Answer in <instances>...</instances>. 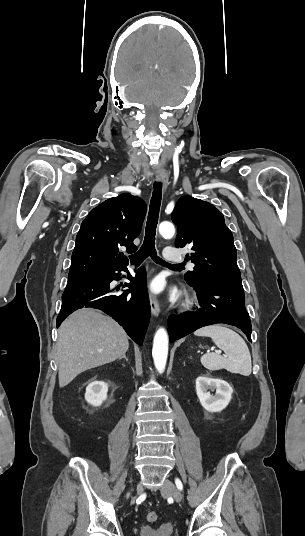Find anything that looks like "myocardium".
Masks as SVG:
<instances>
[{"instance_id": "obj_1", "label": "myocardium", "mask_w": 305, "mask_h": 536, "mask_svg": "<svg viewBox=\"0 0 305 536\" xmlns=\"http://www.w3.org/2000/svg\"><path fill=\"white\" fill-rule=\"evenodd\" d=\"M185 305L187 307H190L193 305V299L192 298H187L186 301H185Z\"/></svg>"}]
</instances>
